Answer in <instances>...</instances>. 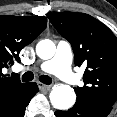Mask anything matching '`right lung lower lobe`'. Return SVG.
<instances>
[{
  "mask_svg": "<svg viewBox=\"0 0 117 117\" xmlns=\"http://www.w3.org/2000/svg\"><path fill=\"white\" fill-rule=\"evenodd\" d=\"M38 91L35 82L28 83L9 104L0 109V117H24L26 106Z\"/></svg>",
  "mask_w": 117,
  "mask_h": 117,
  "instance_id": "98d812e1",
  "label": "right lung lower lobe"
}]
</instances>
